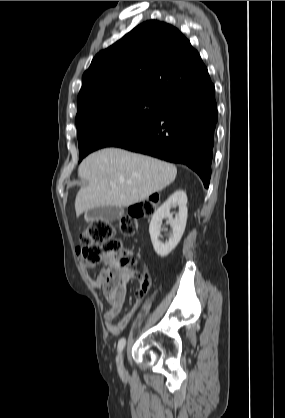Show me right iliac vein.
Masks as SVG:
<instances>
[{"label": "right iliac vein", "mask_w": 285, "mask_h": 418, "mask_svg": "<svg viewBox=\"0 0 285 418\" xmlns=\"http://www.w3.org/2000/svg\"><path fill=\"white\" fill-rule=\"evenodd\" d=\"M117 368L120 373L125 372L124 364H123V352H120L116 358Z\"/></svg>", "instance_id": "right-iliac-vein-1"}]
</instances>
